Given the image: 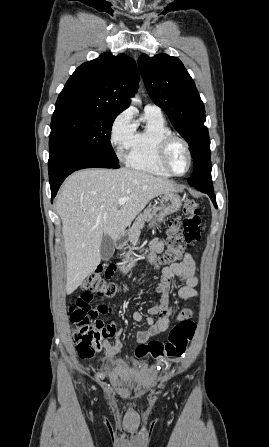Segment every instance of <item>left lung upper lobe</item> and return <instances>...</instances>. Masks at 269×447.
Listing matches in <instances>:
<instances>
[{
  "mask_svg": "<svg viewBox=\"0 0 269 447\" xmlns=\"http://www.w3.org/2000/svg\"><path fill=\"white\" fill-rule=\"evenodd\" d=\"M138 66L150 98L161 107L172 125L187 141L194 170L192 186L212 185L210 138L204 126L205 108L195 83L177 57L142 54Z\"/></svg>",
  "mask_w": 269,
  "mask_h": 447,
  "instance_id": "1",
  "label": "left lung upper lobe"
}]
</instances>
